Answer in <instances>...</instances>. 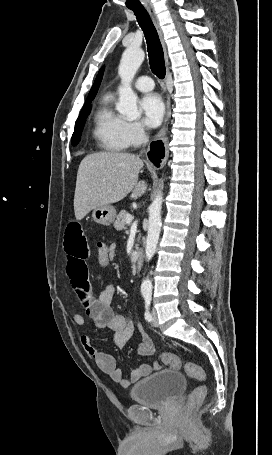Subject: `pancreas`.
<instances>
[{
    "instance_id": "cf45deb5",
    "label": "pancreas",
    "mask_w": 272,
    "mask_h": 455,
    "mask_svg": "<svg viewBox=\"0 0 272 455\" xmlns=\"http://www.w3.org/2000/svg\"><path fill=\"white\" fill-rule=\"evenodd\" d=\"M127 215H128V213L125 210L121 211L117 215L116 221L114 222V227L117 231H121V230L125 229Z\"/></svg>"
}]
</instances>
